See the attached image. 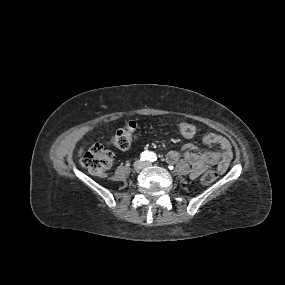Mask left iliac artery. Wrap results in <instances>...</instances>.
I'll return each instance as SVG.
<instances>
[{
    "instance_id": "obj_1",
    "label": "left iliac artery",
    "mask_w": 285,
    "mask_h": 285,
    "mask_svg": "<svg viewBox=\"0 0 285 285\" xmlns=\"http://www.w3.org/2000/svg\"><path fill=\"white\" fill-rule=\"evenodd\" d=\"M149 160L152 161V162L157 160V156H156V154L154 152L150 153V159Z\"/></svg>"
}]
</instances>
